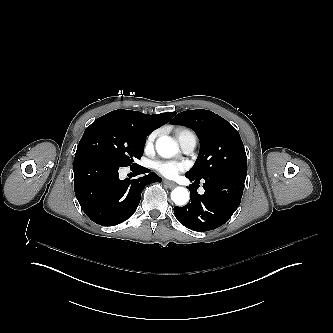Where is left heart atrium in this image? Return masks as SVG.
<instances>
[{
    "instance_id": "obj_1",
    "label": "left heart atrium",
    "mask_w": 333,
    "mask_h": 333,
    "mask_svg": "<svg viewBox=\"0 0 333 333\" xmlns=\"http://www.w3.org/2000/svg\"><path fill=\"white\" fill-rule=\"evenodd\" d=\"M157 171L167 177L174 178L187 169V165L182 162L165 161L159 162L156 166Z\"/></svg>"
}]
</instances>
